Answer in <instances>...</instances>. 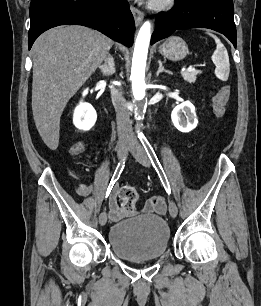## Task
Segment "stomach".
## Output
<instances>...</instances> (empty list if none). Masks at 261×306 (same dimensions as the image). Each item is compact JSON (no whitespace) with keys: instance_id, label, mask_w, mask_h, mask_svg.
<instances>
[{"instance_id":"stomach-1","label":"stomach","mask_w":261,"mask_h":306,"mask_svg":"<svg viewBox=\"0 0 261 306\" xmlns=\"http://www.w3.org/2000/svg\"><path fill=\"white\" fill-rule=\"evenodd\" d=\"M159 52L169 60L178 61L184 59L189 50L186 42L181 37L172 36L159 47Z\"/></svg>"}]
</instances>
